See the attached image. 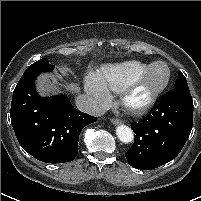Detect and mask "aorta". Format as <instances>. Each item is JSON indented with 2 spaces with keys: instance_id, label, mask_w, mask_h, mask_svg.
Instances as JSON below:
<instances>
[{
  "instance_id": "762f6f07",
  "label": "aorta",
  "mask_w": 201,
  "mask_h": 201,
  "mask_svg": "<svg viewBox=\"0 0 201 201\" xmlns=\"http://www.w3.org/2000/svg\"><path fill=\"white\" fill-rule=\"evenodd\" d=\"M117 137L124 143H130L134 139L133 131L126 125H119L116 128Z\"/></svg>"
}]
</instances>
